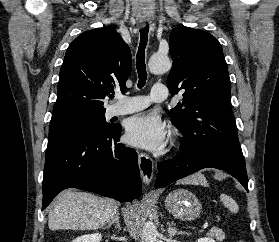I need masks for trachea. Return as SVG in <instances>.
<instances>
[{
    "mask_svg": "<svg viewBox=\"0 0 279 242\" xmlns=\"http://www.w3.org/2000/svg\"><path fill=\"white\" fill-rule=\"evenodd\" d=\"M148 32V24L144 28L140 29V43L136 55V68L139 77L138 88H142L146 84L147 79V71L145 65V49L148 42Z\"/></svg>",
    "mask_w": 279,
    "mask_h": 242,
    "instance_id": "trachea-1",
    "label": "trachea"
}]
</instances>
